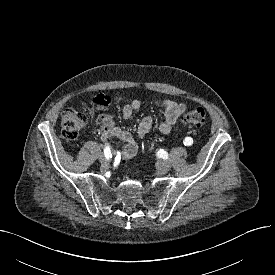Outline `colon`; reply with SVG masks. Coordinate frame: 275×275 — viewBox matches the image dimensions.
Listing matches in <instances>:
<instances>
[{
    "mask_svg": "<svg viewBox=\"0 0 275 275\" xmlns=\"http://www.w3.org/2000/svg\"><path fill=\"white\" fill-rule=\"evenodd\" d=\"M93 103L99 109H103L110 103L109 98L98 95L93 99ZM87 116L84 112L75 109H66L62 113L61 127L62 135L67 140H74L87 125ZM184 124L195 128H202L206 123L205 111L198 107L190 109L182 118Z\"/></svg>",
    "mask_w": 275,
    "mask_h": 275,
    "instance_id": "5ec220e1",
    "label": "colon"
}]
</instances>
